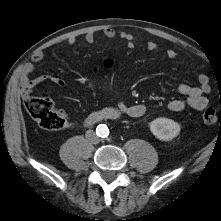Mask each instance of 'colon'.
<instances>
[{
	"mask_svg": "<svg viewBox=\"0 0 221 221\" xmlns=\"http://www.w3.org/2000/svg\"><path fill=\"white\" fill-rule=\"evenodd\" d=\"M24 104L41 128L59 131L66 127L65 118L54 110L53 104L48 98L30 95L25 99ZM202 119L206 124H215L219 120V115L214 109L208 108L203 112Z\"/></svg>",
	"mask_w": 221,
	"mask_h": 221,
	"instance_id": "obj_1",
	"label": "colon"
}]
</instances>
